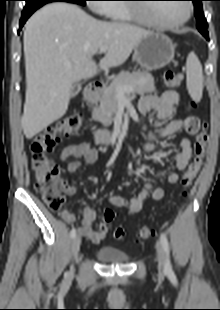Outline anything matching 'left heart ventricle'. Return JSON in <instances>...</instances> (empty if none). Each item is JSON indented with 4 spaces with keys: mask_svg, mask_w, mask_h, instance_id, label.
<instances>
[{
    "mask_svg": "<svg viewBox=\"0 0 220 310\" xmlns=\"http://www.w3.org/2000/svg\"><path fill=\"white\" fill-rule=\"evenodd\" d=\"M153 16L161 21L173 23L182 19L186 14L185 3H165L148 8Z\"/></svg>",
    "mask_w": 220,
    "mask_h": 310,
    "instance_id": "left-heart-ventricle-1",
    "label": "left heart ventricle"
}]
</instances>
